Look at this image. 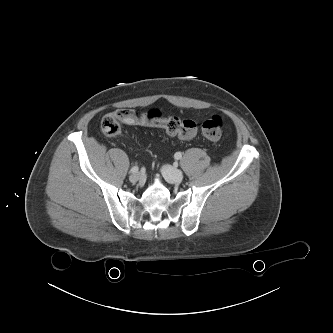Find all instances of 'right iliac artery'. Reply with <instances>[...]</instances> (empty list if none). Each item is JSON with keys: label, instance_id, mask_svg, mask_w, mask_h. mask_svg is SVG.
<instances>
[{"label": "right iliac artery", "instance_id": "right-iliac-artery-1", "mask_svg": "<svg viewBox=\"0 0 333 333\" xmlns=\"http://www.w3.org/2000/svg\"><path fill=\"white\" fill-rule=\"evenodd\" d=\"M138 170H139L138 166H133V167L131 168L130 172H131V173H136V172H138Z\"/></svg>", "mask_w": 333, "mask_h": 333}]
</instances>
